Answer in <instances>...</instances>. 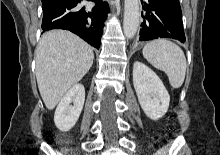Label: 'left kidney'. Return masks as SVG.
Returning a JSON list of instances; mask_svg holds the SVG:
<instances>
[{
	"label": "left kidney",
	"instance_id": "left-kidney-1",
	"mask_svg": "<svg viewBox=\"0 0 220 155\" xmlns=\"http://www.w3.org/2000/svg\"><path fill=\"white\" fill-rule=\"evenodd\" d=\"M133 85L144 113L158 120L168 110L170 96L161 79L142 62H134Z\"/></svg>",
	"mask_w": 220,
	"mask_h": 155
}]
</instances>
